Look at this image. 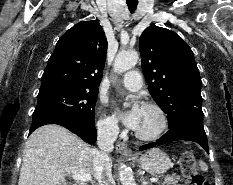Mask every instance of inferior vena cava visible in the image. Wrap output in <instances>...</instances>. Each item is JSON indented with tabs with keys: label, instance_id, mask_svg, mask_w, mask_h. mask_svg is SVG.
I'll return each instance as SVG.
<instances>
[{
	"label": "inferior vena cava",
	"instance_id": "602c4592",
	"mask_svg": "<svg viewBox=\"0 0 233 185\" xmlns=\"http://www.w3.org/2000/svg\"><path fill=\"white\" fill-rule=\"evenodd\" d=\"M117 136L118 127L116 124L100 126L97 129L99 150L94 152L93 164L98 185H115L108 155L114 148Z\"/></svg>",
	"mask_w": 233,
	"mask_h": 185
}]
</instances>
